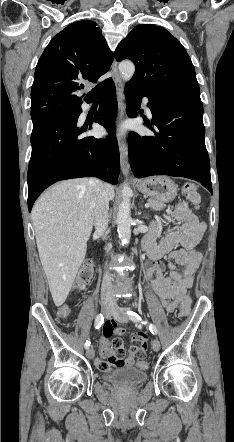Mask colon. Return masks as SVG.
<instances>
[{
    "label": "colon",
    "instance_id": "obj_1",
    "mask_svg": "<svg viewBox=\"0 0 234 442\" xmlns=\"http://www.w3.org/2000/svg\"><path fill=\"white\" fill-rule=\"evenodd\" d=\"M182 190L187 197L196 198L198 196L197 186L194 183L189 182L184 184ZM92 275H93V263L88 261L83 264V266L80 268L78 272L77 279L75 282V288L79 290L83 289L86 286V284L90 281ZM190 308H191V298L189 296H186L181 305V310H180L181 315L182 316L187 315L190 311ZM56 314L57 317L61 320L67 319L71 314V309L68 305H63L57 310ZM136 348L138 347L136 346ZM105 355L107 356L106 361L100 359L96 360V364L98 365L101 371L108 372L112 369V367L119 368L124 366L125 351L122 347L119 350L116 349L111 351L107 350L105 352ZM145 367L146 364L144 362V359L143 360L139 359V362L136 365L137 370L142 371L144 370Z\"/></svg>",
    "mask_w": 234,
    "mask_h": 442
}]
</instances>
